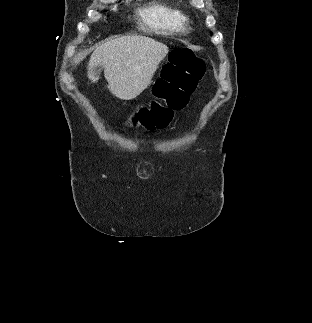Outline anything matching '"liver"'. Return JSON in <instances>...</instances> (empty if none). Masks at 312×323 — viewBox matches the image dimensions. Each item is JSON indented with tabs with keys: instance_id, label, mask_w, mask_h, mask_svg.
<instances>
[{
	"instance_id": "liver-1",
	"label": "liver",
	"mask_w": 312,
	"mask_h": 323,
	"mask_svg": "<svg viewBox=\"0 0 312 323\" xmlns=\"http://www.w3.org/2000/svg\"><path fill=\"white\" fill-rule=\"evenodd\" d=\"M169 50L165 44L146 36H120L107 40L94 50L88 62L87 76L93 84L99 80L98 66L104 68V76L111 94L119 100H133L140 96L149 84Z\"/></svg>"
}]
</instances>
